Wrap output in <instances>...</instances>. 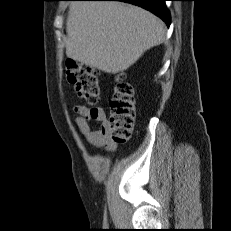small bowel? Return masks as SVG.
<instances>
[{"mask_svg":"<svg viewBox=\"0 0 231 231\" xmlns=\"http://www.w3.org/2000/svg\"><path fill=\"white\" fill-rule=\"evenodd\" d=\"M74 110L77 113L76 125L86 140L94 147L105 148L107 151L112 150L114 142L104 109L80 105Z\"/></svg>","mask_w":231,"mask_h":231,"instance_id":"1","label":"small bowel"}]
</instances>
